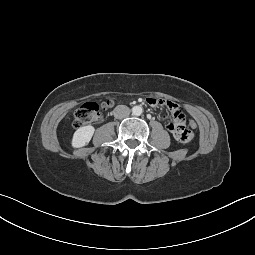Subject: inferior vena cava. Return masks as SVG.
Listing matches in <instances>:
<instances>
[{
    "label": "inferior vena cava",
    "instance_id": "1",
    "mask_svg": "<svg viewBox=\"0 0 255 255\" xmlns=\"http://www.w3.org/2000/svg\"><path fill=\"white\" fill-rule=\"evenodd\" d=\"M114 117L117 119H122L130 114V109L125 105H118L113 110Z\"/></svg>",
    "mask_w": 255,
    "mask_h": 255
}]
</instances>
